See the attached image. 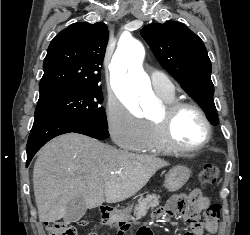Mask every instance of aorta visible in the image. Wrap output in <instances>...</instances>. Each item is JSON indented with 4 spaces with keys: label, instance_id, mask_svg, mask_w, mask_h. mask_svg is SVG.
<instances>
[{
    "label": "aorta",
    "instance_id": "aorta-1",
    "mask_svg": "<svg viewBox=\"0 0 250 235\" xmlns=\"http://www.w3.org/2000/svg\"><path fill=\"white\" fill-rule=\"evenodd\" d=\"M144 56L143 45L132 39L118 47L110 64L115 93L129 108H136L140 104L147 110L145 104L155 101L150 90V79L142 68Z\"/></svg>",
    "mask_w": 250,
    "mask_h": 235
}]
</instances>
